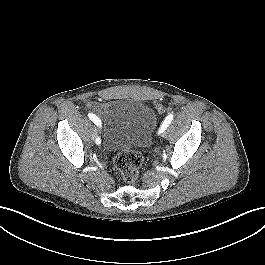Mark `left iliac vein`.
<instances>
[{
  "label": "left iliac vein",
  "instance_id": "1",
  "mask_svg": "<svg viewBox=\"0 0 265 265\" xmlns=\"http://www.w3.org/2000/svg\"><path fill=\"white\" fill-rule=\"evenodd\" d=\"M165 135H166V133L164 132V133H163V136H165Z\"/></svg>",
  "mask_w": 265,
  "mask_h": 265
}]
</instances>
